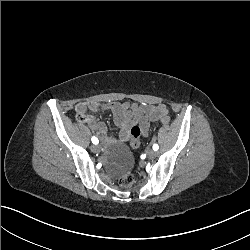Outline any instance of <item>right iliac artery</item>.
Wrapping results in <instances>:
<instances>
[{
	"mask_svg": "<svg viewBox=\"0 0 250 250\" xmlns=\"http://www.w3.org/2000/svg\"><path fill=\"white\" fill-rule=\"evenodd\" d=\"M91 140H92L93 144H98L99 143V140L95 136H93Z\"/></svg>",
	"mask_w": 250,
	"mask_h": 250,
	"instance_id": "right-iliac-artery-1",
	"label": "right iliac artery"
}]
</instances>
